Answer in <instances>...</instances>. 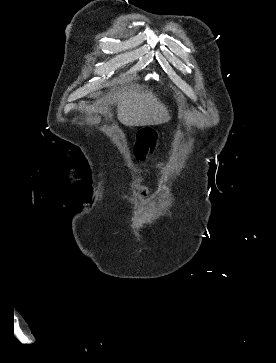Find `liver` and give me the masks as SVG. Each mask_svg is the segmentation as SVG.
Listing matches in <instances>:
<instances>
[{"instance_id": "1", "label": "liver", "mask_w": 276, "mask_h": 363, "mask_svg": "<svg viewBox=\"0 0 276 363\" xmlns=\"http://www.w3.org/2000/svg\"><path fill=\"white\" fill-rule=\"evenodd\" d=\"M107 102H117L118 120L129 127L158 125L170 120L168 111L156 95L140 85L115 92L108 97Z\"/></svg>"}]
</instances>
